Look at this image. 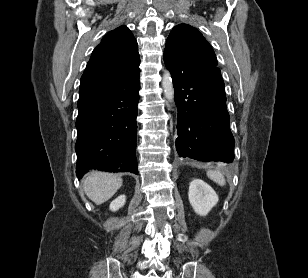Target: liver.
<instances>
[{
    "label": "liver",
    "mask_w": 308,
    "mask_h": 278,
    "mask_svg": "<svg viewBox=\"0 0 308 278\" xmlns=\"http://www.w3.org/2000/svg\"><path fill=\"white\" fill-rule=\"evenodd\" d=\"M86 195L97 205L109 200L122 186V178L118 175L95 171L83 180Z\"/></svg>",
    "instance_id": "obj_1"
}]
</instances>
